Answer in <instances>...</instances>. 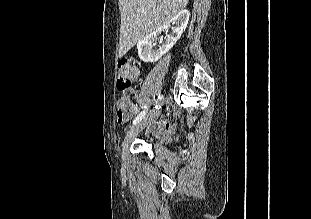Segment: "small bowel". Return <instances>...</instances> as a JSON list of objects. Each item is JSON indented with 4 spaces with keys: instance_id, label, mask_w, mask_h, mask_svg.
Segmentation results:
<instances>
[{
    "instance_id": "1",
    "label": "small bowel",
    "mask_w": 311,
    "mask_h": 219,
    "mask_svg": "<svg viewBox=\"0 0 311 219\" xmlns=\"http://www.w3.org/2000/svg\"><path fill=\"white\" fill-rule=\"evenodd\" d=\"M138 112V107L136 105H132L129 108V112L126 115L122 114V109H121V101H118V105H117V120L119 124H124L127 121H129L136 113Z\"/></svg>"
}]
</instances>
